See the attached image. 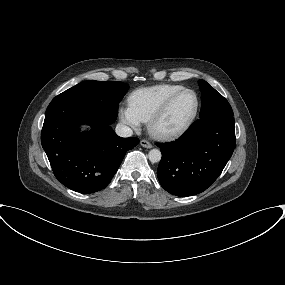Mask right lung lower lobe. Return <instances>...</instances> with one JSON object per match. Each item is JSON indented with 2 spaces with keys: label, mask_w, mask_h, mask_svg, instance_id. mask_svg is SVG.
Here are the masks:
<instances>
[{
  "label": "right lung lower lobe",
  "mask_w": 285,
  "mask_h": 285,
  "mask_svg": "<svg viewBox=\"0 0 285 285\" xmlns=\"http://www.w3.org/2000/svg\"><path fill=\"white\" fill-rule=\"evenodd\" d=\"M116 116L76 100L55 97L47 107L41 143L55 177L79 193L108 185L126 152L139 139L121 138L110 127ZM91 130L79 132V125Z\"/></svg>",
  "instance_id": "right-lung-lower-lobe-1"
}]
</instances>
